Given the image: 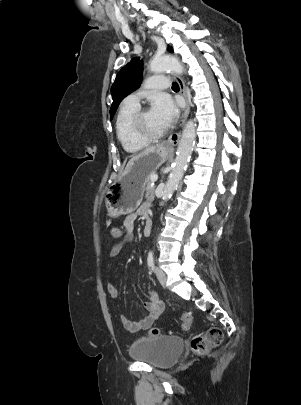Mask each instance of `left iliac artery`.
<instances>
[{
	"instance_id": "left-iliac-artery-1",
	"label": "left iliac artery",
	"mask_w": 301,
	"mask_h": 405,
	"mask_svg": "<svg viewBox=\"0 0 301 405\" xmlns=\"http://www.w3.org/2000/svg\"><path fill=\"white\" fill-rule=\"evenodd\" d=\"M147 263L149 267H151L152 269L154 268V257L152 251H149L148 253Z\"/></svg>"
}]
</instances>
